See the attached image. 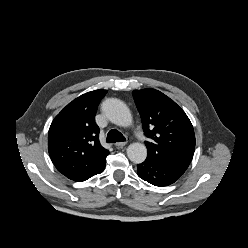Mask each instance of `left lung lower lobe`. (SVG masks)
<instances>
[{"label":"left lung lower lobe","instance_id":"obj_1","mask_svg":"<svg viewBox=\"0 0 248 248\" xmlns=\"http://www.w3.org/2000/svg\"><path fill=\"white\" fill-rule=\"evenodd\" d=\"M138 176L155 186H168L185 172L184 169L162 164L156 160L146 158L137 165Z\"/></svg>","mask_w":248,"mask_h":248}]
</instances>
